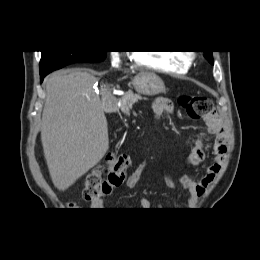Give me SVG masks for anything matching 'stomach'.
<instances>
[{
    "label": "stomach",
    "mask_w": 260,
    "mask_h": 260,
    "mask_svg": "<svg viewBox=\"0 0 260 260\" xmlns=\"http://www.w3.org/2000/svg\"><path fill=\"white\" fill-rule=\"evenodd\" d=\"M136 92L146 96H154L165 92L163 80L153 73H140L132 80Z\"/></svg>",
    "instance_id": "stomach-1"
}]
</instances>
